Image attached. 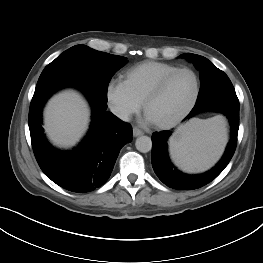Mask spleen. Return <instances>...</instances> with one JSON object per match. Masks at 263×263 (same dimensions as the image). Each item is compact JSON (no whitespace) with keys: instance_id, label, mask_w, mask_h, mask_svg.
Returning a JSON list of instances; mask_svg holds the SVG:
<instances>
[{"instance_id":"obj_1","label":"spleen","mask_w":263,"mask_h":263,"mask_svg":"<svg viewBox=\"0 0 263 263\" xmlns=\"http://www.w3.org/2000/svg\"><path fill=\"white\" fill-rule=\"evenodd\" d=\"M226 141L227 129L223 117L194 118L170 138V154L182 170L200 172L218 160Z\"/></svg>"}]
</instances>
